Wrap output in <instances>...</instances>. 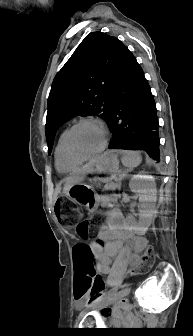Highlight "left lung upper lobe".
I'll return each instance as SVG.
<instances>
[{"instance_id": "5c2ea615", "label": "left lung upper lobe", "mask_w": 193, "mask_h": 336, "mask_svg": "<svg viewBox=\"0 0 193 336\" xmlns=\"http://www.w3.org/2000/svg\"><path fill=\"white\" fill-rule=\"evenodd\" d=\"M126 50L117 38L92 32L56 74L48 98L49 154L58 128L73 117L93 115L108 122L113 89Z\"/></svg>"}]
</instances>
